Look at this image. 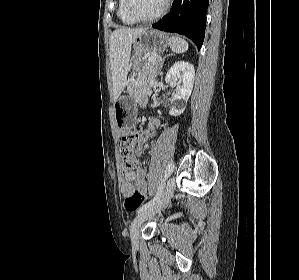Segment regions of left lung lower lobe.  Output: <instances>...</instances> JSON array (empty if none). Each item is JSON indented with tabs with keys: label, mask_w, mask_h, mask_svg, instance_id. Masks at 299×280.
<instances>
[{
	"label": "left lung lower lobe",
	"mask_w": 299,
	"mask_h": 280,
	"mask_svg": "<svg viewBox=\"0 0 299 280\" xmlns=\"http://www.w3.org/2000/svg\"><path fill=\"white\" fill-rule=\"evenodd\" d=\"M209 0H174L170 12L153 28L187 36L200 50L206 28Z\"/></svg>",
	"instance_id": "left-lung-lower-lobe-1"
}]
</instances>
